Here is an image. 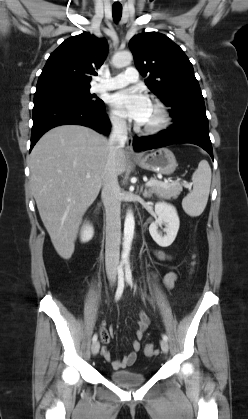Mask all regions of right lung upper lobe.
Masks as SVG:
<instances>
[{"instance_id": "obj_1", "label": "right lung upper lobe", "mask_w": 248, "mask_h": 419, "mask_svg": "<svg viewBox=\"0 0 248 419\" xmlns=\"http://www.w3.org/2000/svg\"><path fill=\"white\" fill-rule=\"evenodd\" d=\"M108 52L105 40L88 32L65 40L50 54L41 75L36 93L64 89L90 88L92 75L99 68Z\"/></svg>"}]
</instances>
